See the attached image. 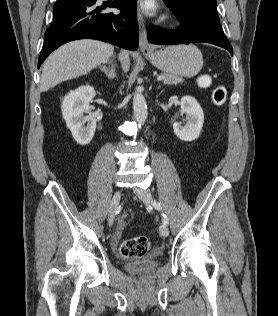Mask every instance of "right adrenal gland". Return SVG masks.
Listing matches in <instances>:
<instances>
[{
	"label": "right adrenal gland",
	"mask_w": 278,
	"mask_h": 316,
	"mask_svg": "<svg viewBox=\"0 0 278 316\" xmlns=\"http://www.w3.org/2000/svg\"><path fill=\"white\" fill-rule=\"evenodd\" d=\"M99 69L105 73V75L109 78L112 79L115 76V67L112 64L111 68L106 67V65L100 66Z\"/></svg>",
	"instance_id": "obj_1"
}]
</instances>
